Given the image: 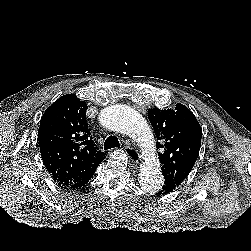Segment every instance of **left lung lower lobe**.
<instances>
[{
    "mask_svg": "<svg viewBox=\"0 0 251 251\" xmlns=\"http://www.w3.org/2000/svg\"><path fill=\"white\" fill-rule=\"evenodd\" d=\"M176 187L172 183H167L162 185L161 189L156 193V195H165L173 191Z\"/></svg>",
    "mask_w": 251,
    "mask_h": 251,
    "instance_id": "obj_1",
    "label": "left lung lower lobe"
}]
</instances>
